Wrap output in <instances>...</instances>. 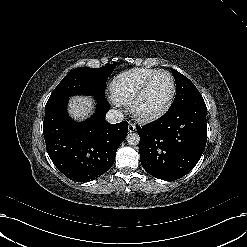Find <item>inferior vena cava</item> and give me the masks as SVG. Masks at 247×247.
I'll return each instance as SVG.
<instances>
[{
    "mask_svg": "<svg viewBox=\"0 0 247 247\" xmlns=\"http://www.w3.org/2000/svg\"><path fill=\"white\" fill-rule=\"evenodd\" d=\"M124 119L123 112L119 109H110L106 114V120L109 123H119Z\"/></svg>",
    "mask_w": 247,
    "mask_h": 247,
    "instance_id": "1",
    "label": "inferior vena cava"
}]
</instances>
